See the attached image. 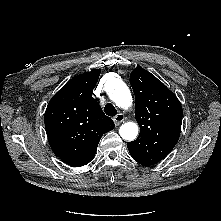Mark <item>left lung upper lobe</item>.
<instances>
[{
    "label": "left lung upper lobe",
    "instance_id": "1",
    "mask_svg": "<svg viewBox=\"0 0 221 221\" xmlns=\"http://www.w3.org/2000/svg\"><path fill=\"white\" fill-rule=\"evenodd\" d=\"M130 83L140 134L127 147L134 160L149 166L165 158L176 145L181 132L182 106L162 82L140 66L131 72Z\"/></svg>",
    "mask_w": 221,
    "mask_h": 221
}]
</instances>
